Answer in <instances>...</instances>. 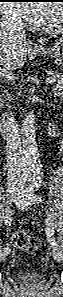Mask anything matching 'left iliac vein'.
I'll use <instances>...</instances> for the list:
<instances>
[{
  "mask_svg": "<svg viewBox=\"0 0 63 297\" xmlns=\"http://www.w3.org/2000/svg\"><path fill=\"white\" fill-rule=\"evenodd\" d=\"M19 207V206H18ZM28 207V205H24V207L22 208V207H19V208H22V209H25V208H27ZM58 248L54 251V255H55V258H56V256H58Z\"/></svg>",
  "mask_w": 63,
  "mask_h": 297,
  "instance_id": "left-iliac-vein-1",
  "label": "left iliac vein"
}]
</instances>
